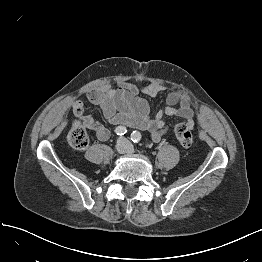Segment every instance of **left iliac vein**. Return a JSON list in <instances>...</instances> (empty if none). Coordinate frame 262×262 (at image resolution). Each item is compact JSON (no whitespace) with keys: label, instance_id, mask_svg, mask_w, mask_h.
Masks as SVG:
<instances>
[{"label":"left iliac vein","instance_id":"obj_1","mask_svg":"<svg viewBox=\"0 0 262 262\" xmlns=\"http://www.w3.org/2000/svg\"><path fill=\"white\" fill-rule=\"evenodd\" d=\"M132 152H133V149L130 148V149L128 150V153H132Z\"/></svg>","mask_w":262,"mask_h":262}]
</instances>
